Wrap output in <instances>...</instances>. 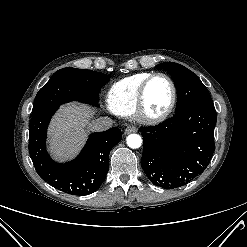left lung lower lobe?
Masks as SVG:
<instances>
[{
	"mask_svg": "<svg viewBox=\"0 0 247 247\" xmlns=\"http://www.w3.org/2000/svg\"><path fill=\"white\" fill-rule=\"evenodd\" d=\"M213 104L176 113L159 125L141 127V166L148 179L165 189L181 187L199 176L215 150Z\"/></svg>",
	"mask_w": 247,
	"mask_h": 247,
	"instance_id": "0a47b994",
	"label": "left lung lower lobe"
}]
</instances>
